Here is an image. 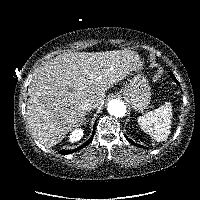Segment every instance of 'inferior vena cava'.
Instances as JSON below:
<instances>
[{"label":"inferior vena cava","instance_id":"inferior-vena-cava-1","mask_svg":"<svg viewBox=\"0 0 200 200\" xmlns=\"http://www.w3.org/2000/svg\"><path fill=\"white\" fill-rule=\"evenodd\" d=\"M81 108L83 111H90L92 108H94V103L92 100L90 99H86L83 101V103L81 104Z\"/></svg>","mask_w":200,"mask_h":200}]
</instances>
